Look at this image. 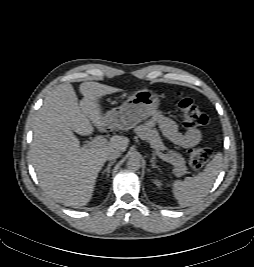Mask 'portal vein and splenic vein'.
Segmentation results:
<instances>
[{"instance_id": "1", "label": "portal vein and splenic vein", "mask_w": 254, "mask_h": 267, "mask_svg": "<svg viewBox=\"0 0 254 267\" xmlns=\"http://www.w3.org/2000/svg\"><path fill=\"white\" fill-rule=\"evenodd\" d=\"M108 141L106 138L102 136L95 137L89 144L93 146H102L107 144ZM157 156L162 159L163 161L169 162V157L161 152H156Z\"/></svg>"}]
</instances>
